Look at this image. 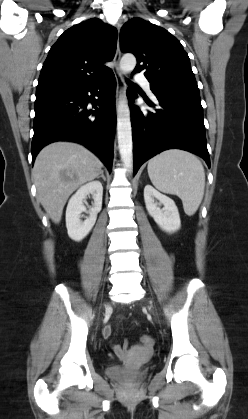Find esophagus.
Wrapping results in <instances>:
<instances>
[{"instance_id":"obj_1","label":"esophagus","mask_w":248,"mask_h":419,"mask_svg":"<svg viewBox=\"0 0 248 419\" xmlns=\"http://www.w3.org/2000/svg\"><path fill=\"white\" fill-rule=\"evenodd\" d=\"M117 30H118V38H117V45H116V52H115V56H114V74H115V78H116V83H117V89H116V100L118 101L121 94L124 92L125 88H126V83L124 80V76L123 73L120 69L119 66V62H120V58H121V49H120V30H121V23L117 22L116 24Z\"/></svg>"}]
</instances>
